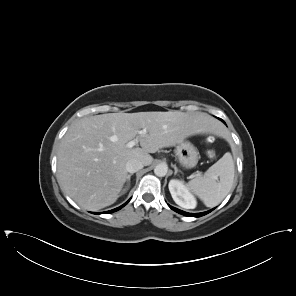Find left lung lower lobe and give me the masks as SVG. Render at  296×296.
Returning <instances> with one entry per match:
<instances>
[{
	"instance_id": "1",
	"label": "left lung lower lobe",
	"mask_w": 296,
	"mask_h": 296,
	"mask_svg": "<svg viewBox=\"0 0 296 296\" xmlns=\"http://www.w3.org/2000/svg\"><path fill=\"white\" fill-rule=\"evenodd\" d=\"M169 207H170L171 209H173L174 211H176V212L182 214V215L191 216V217H201V216L206 215L207 213H209V212H211V211L213 210V209H212V210L207 211V212L192 214V213H187V212L181 211V210H179V209H177V208H174V207H172V206H170V205H169Z\"/></svg>"
}]
</instances>
